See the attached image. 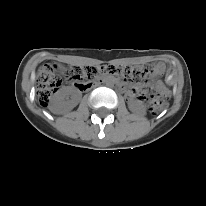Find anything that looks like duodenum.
I'll return each instance as SVG.
<instances>
[{
  "mask_svg": "<svg viewBox=\"0 0 206 206\" xmlns=\"http://www.w3.org/2000/svg\"><path fill=\"white\" fill-rule=\"evenodd\" d=\"M105 82H106V79H105L104 77H101L100 79H98V80L96 81V84H99V83L104 84ZM117 83H118L119 85L122 84L120 81H117Z\"/></svg>",
  "mask_w": 206,
  "mask_h": 206,
  "instance_id": "1",
  "label": "duodenum"
}]
</instances>
